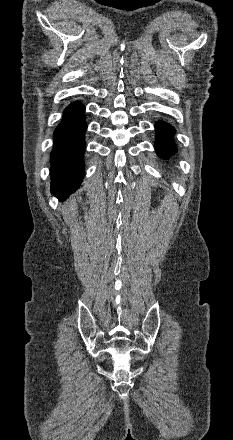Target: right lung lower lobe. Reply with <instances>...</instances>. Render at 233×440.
I'll return each instance as SVG.
<instances>
[{
	"instance_id": "obj_1",
	"label": "right lung lower lobe",
	"mask_w": 233,
	"mask_h": 440,
	"mask_svg": "<svg viewBox=\"0 0 233 440\" xmlns=\"http://www.w3.org/2000/svg\"><path fill=\"white\" fill-rule=\"evenodd\" d=\"M84 113L85 107L82 103H71L54 131L51 189L52 193L61 200L77 189L84 176V135L87 129Z\"/></svg>"
}]
</instances>
